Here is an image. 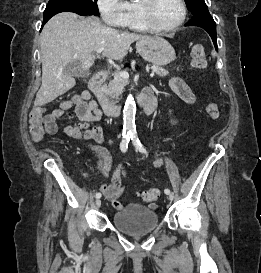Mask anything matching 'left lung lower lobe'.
<instances>
[{"label": "left lung lower lobe", "instance_id": "left-lung-lower-lobe-1", "mask_svg": "<svg viewBox=\"0 0 261 273\" xmlns=\"http://www.w3.org/2000/svg\"><path fill=\"white\" fill-rule=\"evenodd\" d=\"M185 26H198L205 29L208 34L211 36L216 50L217 47V35H216V24L213 18L211 17L208 10L201 11L191 18Z\"/></svg>", "mask_w": 261, "mask_h": 273}]
</instances>
